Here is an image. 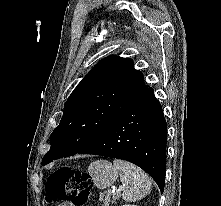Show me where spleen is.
Listing matches in <instances>:
<instances>
[{
  "instance_id": "obj_1",
  "label": "spleen",
  "mask_w": 221,
  "mask_h": 206,
  "mask_svg": "<svg viewBox=\"0 0 221 206\" xmlns=\"http://www.w3.org/2000/svg\"><path fill=\"white\" fill-rule=\"evenodd\" d=\"M116 169L120 171V179L124 186L122 197L125 201H137L151 191L148 175L132 163L114 160Z\"/></svg>"
}]
</instances>
